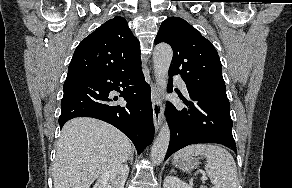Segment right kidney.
<instances>
[{"instance_id": "obj_1", "label": "right kidney", "mask_w": 292, "mask_h": 188, "mask_svg": "<svg viewBox=\"0 0 292 188\" xmlns=\"http://www.w3.org/2000/svg\"><path fill=\"white\" fill-rule=\"evenodd\" d=\"M129 174L127 165H120L101 175L93 188H124Z\"/></svg>"}]
</instances>
